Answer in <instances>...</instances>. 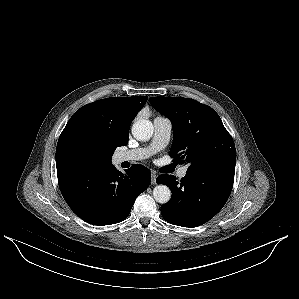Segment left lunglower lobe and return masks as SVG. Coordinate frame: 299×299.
Wrapping results in <instances>:
<instances>
[{
  "mask_svg": "<svg viewBox=\"0 0 299 299\" xmlns=\"http://www.w3.org/2000/svg\"><path fill=\"white\" fill-rule=\"evenodd\" d=\"M235 167L210 166L188 170L176 181L160 175L156 182L171 189V200L161 206L163 218L174 225L197 227L213 218L225 205L232 190Z\"/></svg>",
  "mask_w": 299,
  "mask_h": 299,
  "instance_id": "0a47b994",
  "label": "left lung lower lobe"
}]
</instances>
